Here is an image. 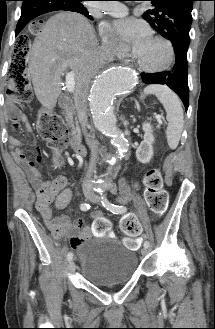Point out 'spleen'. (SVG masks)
Segmentation results:
<instances>
[{
    "mask_svg": "<svg viewBox=\"0 0 215 329\" xmlns=\"http://www.w3.org/2000/svg\"><path fill=\"white\" fill-rule=\"evenodd\" d=\"M144 93L155 95L162 103L168 121L167 142L171 149H175L179 144L184 126L183 109L179 97L165 85L147 86Z\"/></svg>",
    "mask_w": 215,
    "mask_h": 329,
    "instance_id": "obj_1",
    "label": "spleen"
}]
</instances>
